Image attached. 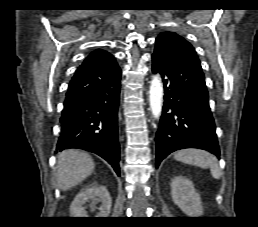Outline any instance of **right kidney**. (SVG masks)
<instances>
[{
  "instance_id": "1",
  "label": "right kidney",
  "mask_w": 258,
  "mask_h": 227,
  "mask_svg": "<svg viewBox=\"0 0 258 227\" xmlns=\"http://www.w3.org/2000/svg\"><path fill=\"white\" fill-rule=\"evenodd\" d=\"M101 203L96 217H108L111 210V197L105 186L93 184L82 189L74 198L70 206L72 217H88L84 208L86 202ZM93 211V207H91Z\"/></svg>"
}]
</instances>
